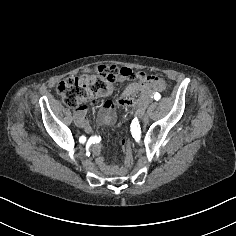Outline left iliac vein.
<instances>
[{"mask_svg":"<svg viewBox=\"0 0 236 236\" xmlns=\"http://www.w3.org/2000/svg\"><path fill=\"white\" fill-rule=\"evenodd\" d=\"M148 116H149V115H148L147 113L143 116V119H142V120H143V121H142L143 124H142V125H143L144 127L147 125V124H146V122H147L146 120L148 119Z\"/></svg>","mask_w":236,"mask_h":236,"instance_id":"1","label":"left iliac vein"}]
</instances>
